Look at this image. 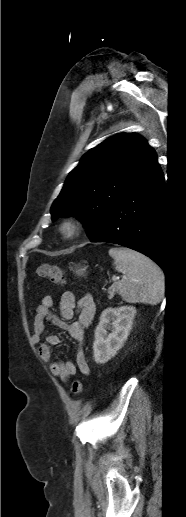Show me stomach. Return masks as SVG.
Instances as JSON below:
<instances>
[{
	"mask_svg": "<svg viewBox=\"0 0 186 517\" xmlns=\"http://www.w3.org/2000/svg\"><path fill=\"white\" fill-rule=\"evenodd\" d=\"M86 269H87V267L78 265V266H76V267H75L74 269H72V270H73V272H74L76 275H78V276H83V275H85V273H86Z\"/></svg>",
	"mask_w": 186,
	"mask_h": 517,
	"instance_id": "stomach-1",
	"label": "stomach"
}]
</instances>
